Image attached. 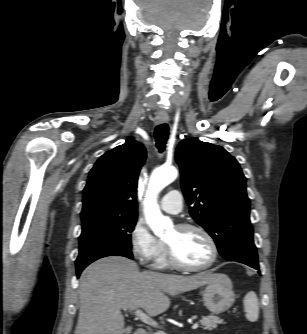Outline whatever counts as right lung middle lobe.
Segmentation results:
<instances>
[{
	"label": "right lung middle lobe",
	"mask_w": 307,
	"mask_h": 334,
	"mask_svg": "<svg viewBox=\"0 0 307 334\" xmlns=\"http://www.w3.org/2000/svg\"><path fill=\"white\" fill-rule=\"evenodd\" d=\"M82 218L79 237L77 270L106 256H124L132 259L131 232L137 217L91 215Z\"/></svg>",
	"instance_id": "obj_1"
}]
</instances>
